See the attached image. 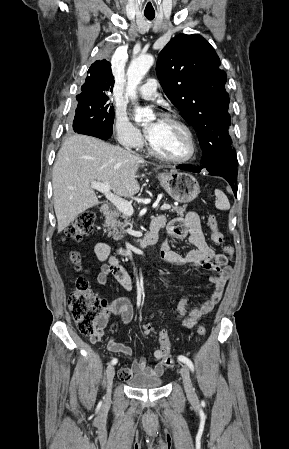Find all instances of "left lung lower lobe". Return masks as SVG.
Listing matches in <instances>:
<instances>
[{
	"label": "left lung lower lobe",
	"instance_id": "0a47b994",
	"mask_svg": "<svg viewBox=\"0 0 289 449\" xmlns=\"http://www.w3.org/2000/svg\"><path fill=\"white\" fill-rule=\"evenodd\" d=\"M201 164H202L201 166H197V167H193L191 165H180V166H177L176 168L185 170V171L195 172V173H199L202 168H206L210 172V175L221 176L225 180H227L228 183L232 186V190H233L235 196H237V186H236L237 174L218 175L217 173L212 172L211 169L208 167V165H206V163H201Z\"/></svg>",
	"mask_w": 289,
	"mask_h": 449
}]
</instances>
